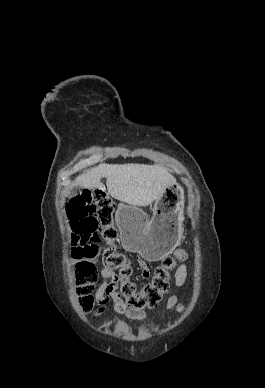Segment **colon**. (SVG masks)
<instances>
[{"label":"colon","instance_id":"colon-1","mask_svg":"<svg viewBox=\"0 0 265 388\" xmlns=\"http://www.w3.org/2000/svg\"><path fill=\"white\" fill-rule=\"evenodd\" d=\"M72 228V256L76 260L75 281L80 308L85 313L94 310L92 295L97 278L95 262L100 258L103 265L116 273L117 291L129 308L141 310L155 306L167 290L171 271L177 261L188 256L178 250L174 256L165 258L156 267L153 276L142 289L137 290L131 280V263L116 246L117 230L113 223L114 205L103 190H86L74 196L66 205Z\"/></svg>","mask_w":265,"mask_h":388}]
</instances>
